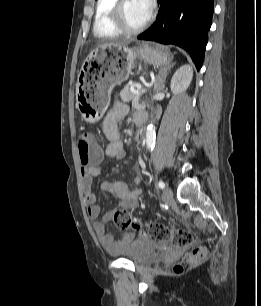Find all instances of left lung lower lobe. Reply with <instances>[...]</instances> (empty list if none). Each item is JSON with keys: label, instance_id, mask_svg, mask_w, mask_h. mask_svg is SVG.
Segmentation results:
<instances>
[{"label": "left lung lower lobe", "instance_id": "left-lung-lower-lobe-1", "mask_svg": "<svg viewBox=\"0 0 261 306\" xmlns=\"http://www.w3.org/2000/svg\"><path fill=\"white\" fill-rule=\"evenodd\" d=\"M158 4L156 21L137 38L185 49L199 70L212 23L214 0H158Z\"/></svg>", "mask_w": 261, "mask_h": 306}]
</instances>
